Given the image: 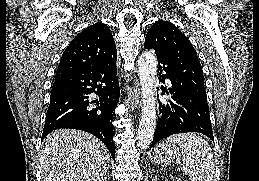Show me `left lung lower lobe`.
<instances>
[{
  "instance_id": "left-lung-lower-lobe-1",
  "label": "left lung lower lobe",
  "mask_w": 259,
  "mask_h": 181,
  "mask_svg": "<svg viewBox=\"0 0 259 181\" xmlns=\"http://www.w3.org/2000/svg\"><path fill=\"white\" fill-rule=\"evenodd\" d=\"M157 58L158 72H166L161 81L168 78L172 85L168 90L161 89L170 94L172 99L167 104L160 103L162 116L158 120L152 146L165 137L186 132H200L214 141L207 99L178 81L165 59Z\"/></svg>"
}]
</instances>
